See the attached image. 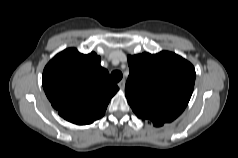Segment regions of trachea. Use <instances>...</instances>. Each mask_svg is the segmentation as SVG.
Wrapping results in <instances>:
<instances>
[{
	"instance_id": "obj_1",
	"label": "trachea",
	"mask_w": 238,
	"mask_h": 158,
	"mask_svg": "<svg viewBox=\"0 0 238 158\" xmlns=\"http://www.w3.org/2000/svg\"><path fill=\"white\" fill-rule=\"evenodd\" d=\"M122 73L119 70H115L111 73V78L114 82H119L122 79Z\"/></svg>"
}]
</instances>
